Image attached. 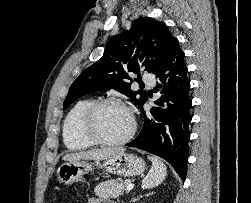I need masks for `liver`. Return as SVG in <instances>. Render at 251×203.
Returning <instances> with one entry per match:
<instances>
[{
    "instance_id": "obj_1",
    "label": "liver",
    "mask_w": 251,
    "mask_h": 203,
    "mask_svg": "<svg viewBox=\"0 0 251 203\" xmlns=\"http://www.w3.org/2000/svg\"><path fill=\"white\" fill-rule=\"evenodd\" d=\"M124 150L123 148H103L88 151L69 153L63 156V160L73 162L77 160L102 161L110 158L115 153Z\"/></svg>"
}]
</instances>
